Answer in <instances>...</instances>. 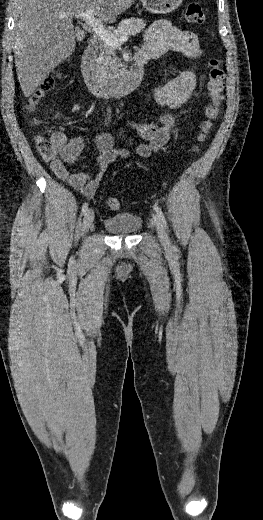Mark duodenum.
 Wrapping results in <instances>:
<instances>
[{
  "label": "duodenum",
  "instance_id": "duodenum-1",
  "mask_svg": "<svg viewBox=\"0 0 263 520\" xmlns=\"http://www.w3.org/2000/svg\"><path fill=\"white\" fill-rule=\"evenodd\" d=\"M98 47L97 39L92 38L82 55L81 71L89 90L97 96L112 97H121L135 90L144 78V66L151 56L139 50L134 55L132 68L122 78L110 80L102 76L96 66Z\"/></svg>",
  "mask_w": 263,
  "mask_h": 520
}]
</instances>
